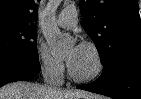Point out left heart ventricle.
<instances>
[{"label":"left heart ventricle","mask_w":141,"mask_h":99,"mask_svg":"<svg viewBox=\"0 0 141 99\" xmlns=\"http://www.w3.org/2000/svg\"><path fill=\"white\" fill-rule=\"evenodd\" d=\"M70 53L68 54L69 57ZM72 70L79 76H86L91 74L95 69V60L92 53L85 47L81 50L72 64Z\"/></svg>","instance_id":"1"}]
</instances>
